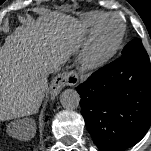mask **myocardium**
Instances as JSON below:
<instances>
[{
    "label": "myocardium",
    "mask_w": 151,
    "mask_h": 151,
    "mask_svg": "<svg viewBox=\"0 0 151 151\" xmlns=\"http://www.w3.org/2000/svg\"><path fill=\"white\" fill-rule=\"evenodd\" d=\"M109 19H115L120 24V30L113 42L103 48L101 35L105 23ZM126 31L123 21L115 14L105 15L93 29L81 55L82 64L89 69H95L105 65L118 51Z\"/></svg>",
    "instance_id": "myocardium-1"
}]
</instances>
